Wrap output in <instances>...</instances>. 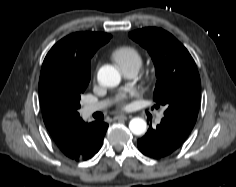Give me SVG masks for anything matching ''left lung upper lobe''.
Segmentation results:
<instances>
[{"label":"left lung upper lobe","mask_w":236,"mask_h":187,"mask_svg":"<svg viewBox=\"0 0 236 187\" xmlns=\"http://www.w3.org/2000/svg\"><path fill=\"white\" fill-rule=\"evenodd\" d=\"M129 37L152 57L157 76L153 99L167 107L164 118L191 131L198 115L201 82L190 53L161 28H142L130 32Z\"/></svg>","instance_id":"1"}]
</instances>
